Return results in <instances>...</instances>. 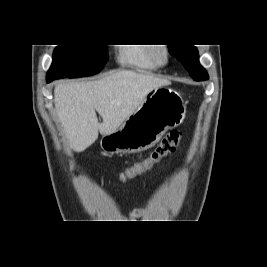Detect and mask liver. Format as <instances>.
Here are the masks:
<instances>
[{
	"label": "liver",
	"instance_id": "1",
	"mask_svg": "<svg viewBox=\"0 0 267 267\" xmlns=\"http://www.w3.org/2000/svg\"><path fill=\"white\" fill-rule=\"evenodd\" d=\"M167 79L122 70L95 81H64L54 89V103L70 147L82 152L102 135L114 133L154 89ZM96 111L102 117L99 123Z\"/></svg>",
	"mask_w": 267,
	"mask_h": 267
}]
</instances>
